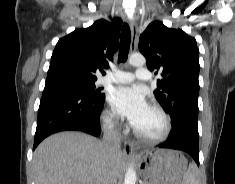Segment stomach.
I'll list each match as a JSON object with an SVG mask.
<instances>
[{"label":"stomach","instance_id":"0dacf381","mask_svg":"<svg viewBox=\"0 0 235 184\" xmlns=\"http://www.w3.org/2000/svg\"><path fill=\"white\" fill-rule=\"evenodd\" d=\"M137 162L141 178L149 180L147 184H181L188 164L177 150L142 152Z\"/></svg>","mask_w":235,"mask_h":184}]
</instances>
